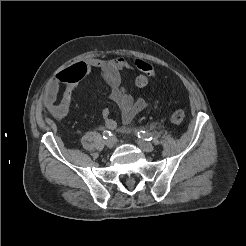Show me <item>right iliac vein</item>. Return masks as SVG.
Wrapping results in <instances>:
<instances>
[{
	"label": "right iliac vein",
	"mask_w": 246,
	"mask_h": 246,
	"mask_svg": "<svg viewBox=\"0 0 246 246\" xmlns=\"http://www.w3.org/2000/svg\"><path fill=\"white\" fill-rule=\"evenodd\" d=\"M105 144L108 148H112L115 145V140L112 137L106 139Z\"/></svg>",
	"instance_id": "63e3f726"
}]
</instances>
